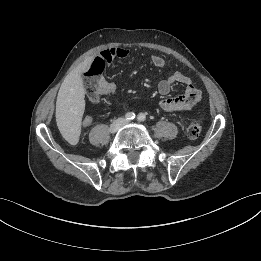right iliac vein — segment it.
Wrapping results in <instances>:
<instances>
[{
	"label": "right iliac vein",
	"instance_id": "63e3f726",
	"mask_svg": "<svg viewBox=\"0 0 261 261\" xmlns=\"http://www.w3.org/2000/svg\"><path fill=\"white\" fill-rule=\"evenodd\" d=\"M124 123H125V121L122 118L115 120L110 125V128H109L110 133H112V134L116 133L119 130V128L124 125Z\"/></svg>",
	"mask_w": 261,
	"mask_h": 261
}]
</instances>
